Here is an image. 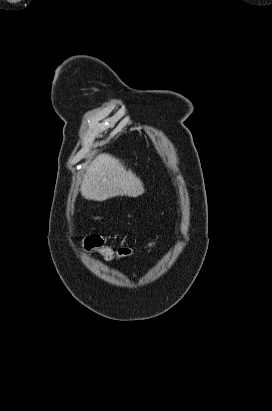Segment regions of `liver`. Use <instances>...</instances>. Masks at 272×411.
Here are the masks:
<instances>
[{"label":"liver","mask_w":272,"mask_h":411,"mask_svg":"<svg viewBox=\"0 0 272 411\" xmlns=\"http://www.w3.org/2000/svg\"><path fill=\"white\" fill-rule=\"evenodd\" d=\"M145 192L140 178L109 154H100L87 168L81 185L85 199L105 201L116 196L137 197Z\"/></svg>","instance_id":"liver-1"}]
</instances>
